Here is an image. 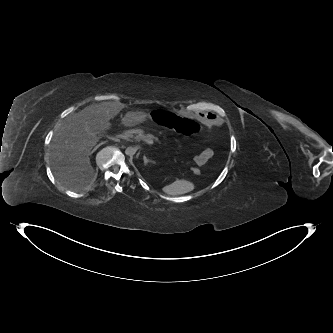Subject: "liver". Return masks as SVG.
<instances>
[{"mask_svg":"<svg viewBox=\"0 0 333 333\" xmlns=\"http://www.w3.org/2000/svg\"><path fill=\"white\" fill-rule=\"evenodd\" d=\"M124 108L120 102L92 104L65 118L50 144L49 159L56 180L71 190L86 188L95 180L89 156L97 143L96 133L111 128L110 120ZM149 114L128 111L121 121L125 127L143 123Z\"/></svg>","mask_w":333,"mask_h":333,"instance_id":"obj_1","label":"liver"}]
</instances>
